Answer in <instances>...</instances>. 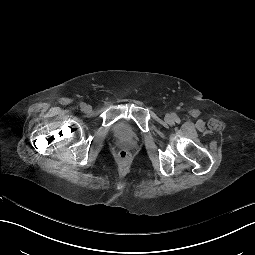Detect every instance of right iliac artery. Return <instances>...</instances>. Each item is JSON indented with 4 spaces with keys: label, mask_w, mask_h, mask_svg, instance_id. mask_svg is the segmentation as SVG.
<instances>
[{
    "label": "right iliac artery",
    "mask_w": 255,
    "mask_h": 255,
    "mask_svg": "<svg viewBox=\"0 0 255 255\" xmlns=\"http://www.w3.org/2000/svg\"><path fill=\"white\" fill-rule=\"evenodd\" d=\"M85 106H86V104H85V103H83V102L80 104L81 109H84V108H85Z\"/></svg>",
    "instance_id": "obj_1"
}]
</instances>
